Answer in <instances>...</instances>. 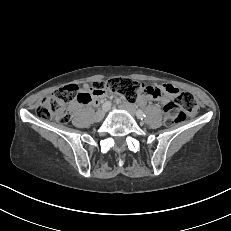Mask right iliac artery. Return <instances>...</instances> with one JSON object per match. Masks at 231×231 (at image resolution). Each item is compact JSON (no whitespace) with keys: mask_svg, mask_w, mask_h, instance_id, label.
Here are the masks:
<instances>
[{"mask_svg":"<svg viewBox=\"0 0 231 231\" xmlns=\"http://www.w3.org/2000/svg\"><path fill=\"white\" fill-rule=\"evenodd\" d=\"M111 107V103L109 101L105 102L103 105H102V109L107 111L109 110Z\"/></svg>","mask_w":231,"mask_h":231,"instance_id":"obj_1","label":"right iliac artery"}]
</instances>
